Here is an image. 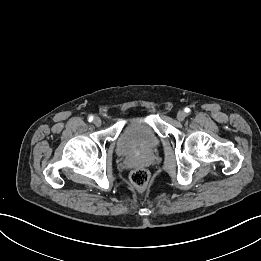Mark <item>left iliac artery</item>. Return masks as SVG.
<instances>
[{"mask_svg": "<svg viewBox=\"0 0 261 261\" xmlns=\"http://www.w3.org/2000/svg\"><path fill=\"white\" fill-rule=\"evenodd\" d=\"M185 112H186V113H189V112H190V109H189V108H185Z\"/></svg>", "mask_w": 261, "mask_h": 261, "instance_id": "obj_1", "label": "left iliac artery"}]
</instances>
